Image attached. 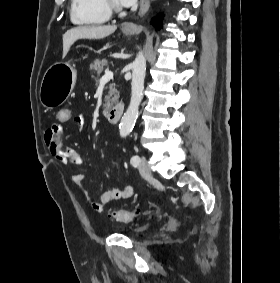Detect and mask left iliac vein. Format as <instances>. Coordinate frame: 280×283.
Masks as SVG:
<instances>
[{
	"mask_svg": "<svg viewBox=\"0 0 280 283\" xmlns=\"http://www.w3.org/2000/svg\"><path fill=\"white\" fill-rule=\"evenodd\" d=\"M138 169L143 177H151V169L145 157H141Z\"/></svg>",
	"mask_w": 280,
	"mask_h": 283,
	"instance_id": "obj_1",
	"label": "left iliac vein"
}]
</instances>
